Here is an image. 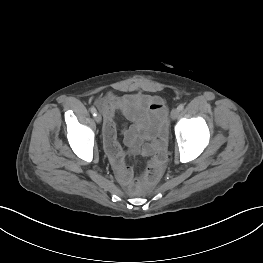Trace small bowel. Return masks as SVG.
<instances>
[{
  "instance_id": "obj_1",
  "label": "small bowel",
  "mask_w": 263,
  "mask_h": 263,
  "mask_svg": "<svg viewBox=\"0 0 263 263\" xmlns=\"http://www.w3.org/2000/svg\"><path fill=\"white\" fill-rule=\"evenodd\" d=\"M96 103L104 116L105 150L122 185L126 187L131 186L133 172L126 165V153L117 140V130L114 121L117 112L122 113L128 120L136 122L138 127L144 129L143 138L137 135V127H132L125 132V141L130 147V152L132 154L140 153L150 156L149 166H163L166 161V108L160 97L143 94L119 96L108 93L98 99ZM136 105H145L147 107L146 115L136 113L133 110Z\"/></svg>"
}]
</instances>
